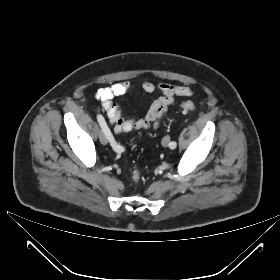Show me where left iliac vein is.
<instances>
[{
    "instance_id": "left-iliac-vein-1",
    "label": "left iliac vein",
    "mask_w": 280,
    "mask_h": 280,
    "mask_svg": "<svg viewBox=\"0 0 280 280\" xmlns=\"http://www.w3.org/2000/svg\"><path fill=\"white\" fill-rule=\"evenodd\" d=\"M169 142H170V136H165L163 139H162V145L163 146H168L169 145Z\"/></svg>"
}]
</instances>
